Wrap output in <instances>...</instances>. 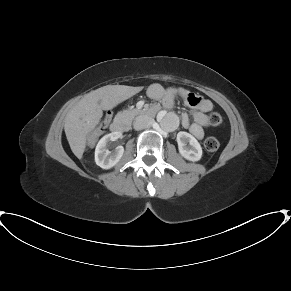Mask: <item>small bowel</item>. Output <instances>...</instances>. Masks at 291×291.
<instances>
[{"mask_svg":"<svg viewBox=\"0 0 291 291\" xmlns=\"http://www.w3.org/2000/svg\"><path fill=\"white\" fill-rule=\"evenodd\" d=\"M147 94L150 99L162 102L166 108H172L177 97L193 109L194 122H190L186 114L181 116V125L190 131L197 139H202L205 128L208 126V112L213 109V103L201 96H197L184 87H170L165 89L162 85L154 83L148 88Z\"/></svg>","mask_w":291,"mask_h":291,"instance_id":"obj_1","label":"small bowel"}]
</instances>
